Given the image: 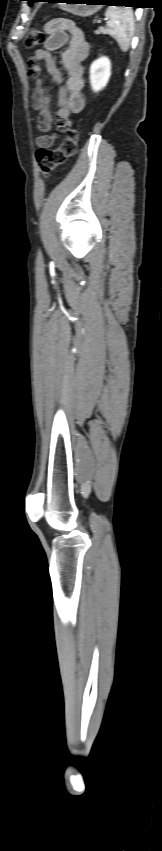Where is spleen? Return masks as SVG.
I'll return each mask as SVG.
<instances>
[{"label": "spleen", "instance_id": "1", "mask_svg": "<svg viewBox=\"0 0 162 851\" xmlns=\"http://www.w3.org/2000/svg\"><path fill=\"white\" fill-rule=\"evenodd\" d=\"M105 16L109 19L106 31L119 44L120 49L126 52L129 49L131 37L134 32V17L131 8L108 7Z\"/></svg>", "mask_w": 162, "mask_h": 851}]
</instances>
